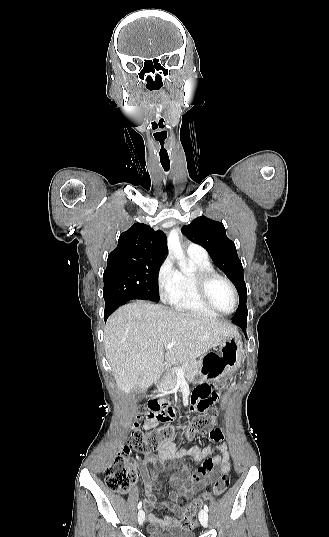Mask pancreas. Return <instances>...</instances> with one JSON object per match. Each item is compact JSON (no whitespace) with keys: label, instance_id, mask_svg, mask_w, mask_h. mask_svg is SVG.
Returning a JSON list of instances; mask_svg holds the SVG:
<instances>
[{"label":"pancreas","instance_id":"pancreas-1","mask_svg":"<svg viewBox=\"0 0 329 537\" xmlns=\"http://www.w3.org/2000/svg\"><path fill=\"white\" fill-rule=\"evenodd\" d=\"M200 361H186L179 368L170 369L162 381L156 385L157 392L169 393L177 385L178 380H190L199 373Z\"/></svg>","mask_w":329,"mask_h":537}]
</instances>
